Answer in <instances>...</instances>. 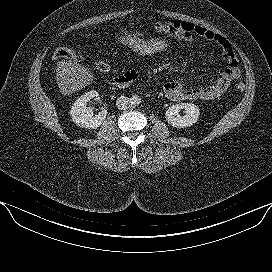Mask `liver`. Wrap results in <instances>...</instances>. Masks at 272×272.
<instances>
[{
  "label": "liver",
  "mask_w": 272,
  "mask_h": 272,
  "mask_svg": "<svg viewBox=\"0 0 272 272\" xmlns=\"http://www.w3.org/2000/svg\"><path fill=\"white\" fill-rule=\"evenodd\" d=\"M94 77L85 66L71 61H59L56 69V81L63 95L74 93L90 84Z\"/></svg>",
  "instance_id": "liver-1"
}]
</instances>
